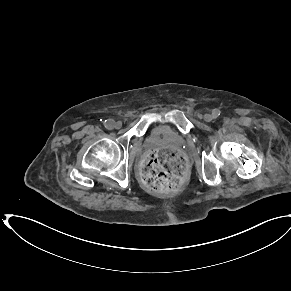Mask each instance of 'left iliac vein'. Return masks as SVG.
Instances as JSON below:
<instances>
[{
  "instance_id": "4c4485c4",
  "label": "left iliac vein",
  "mask_w": 291,
  "mask_h": 291,
  "mask_svg": "<svg viewBox=\"0 0 291 291\" xmlns=\"http://www.w3.org/2000/svg\"><path fill=\"white\" fill-rule=\"evenodd\" d=\"M212 119H213L212 115H210V114H205L204 115V121L205 122H211Z\"/></svg>"
}]
</instances>
